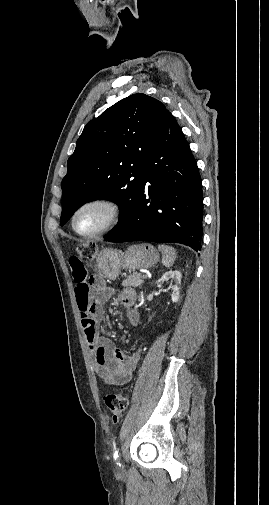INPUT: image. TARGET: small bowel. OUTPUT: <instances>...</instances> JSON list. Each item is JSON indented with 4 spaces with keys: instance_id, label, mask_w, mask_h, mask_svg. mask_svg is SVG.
I'll list each match as a JSON object with an SVG mask.
<instances>
[{
    "instance_id": "small-bowel-1",
    "label": "small bowel",
    "mask_w": 269,
    "mask_h": 505,
    "mask_svg": "<svg viewBox=\"0 0 269 505\" xmlns=\"http://www.w3.org/2000/svg\"><path fill=\"white\" fill-rule=\"evenodd\" d=\"M82 267L81 259L69 261V268L74 271L75 293L82 327L87 345L94 356L96 374L106 384H126L133 376L141 357V351L137 350L133 354L127 355L121 349L116 348L109 338L99 335L100 322L105 318L103 303L110 296L112 290L105 286L104 280L100 276H94L91 280L92 285L101 292L99 295H90L86 281L87 270ZM119 300L128 308H132L135 303V294L129 289L122 290ZM129 319L132 324H137L138 312L131 310Z\"/></svg>"
}]
</instances>
